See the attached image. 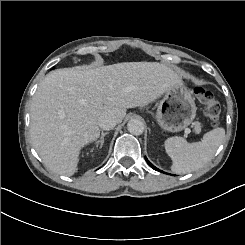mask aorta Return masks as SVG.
<instances>
[{"label": "aorta", "instance_id": "obj_1", "mask_svg": "<svg viewBox=\"0 0 245 245\" xmlns=\"http://www.w3.org/2000/svg\"><path fill=\"white\" fill-rule=\"evenodd\" d=\"M127 128L133 135H141L144 132V124L139 119H131L127 124Z\"/></svg>", "mask_w": 245, "mask_h": 245}]
</instances>
